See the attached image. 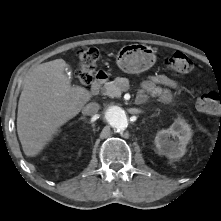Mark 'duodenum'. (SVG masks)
I'll list each match as a JSON object with an SVG mask.
<instances>
[{
  "instance_id": "1",
  "label": "duodenum",
  "mask_w": 221,
  "mask_h": 221,
  "mask_svg": "<svg viewBox=\"0 0 221 221\" xmlns=\"http://www.w3.org/2000/svg\"><path fill=\"white\" fill-rule=\"evenodd\" d=\"M106 80H107V75H106V73H105L104 71H98V72L96 73L95 79H94V81H93V83H92V85H91V92H92L93 94H97V93L100 91V89H101L103 83H104ZM138 102H139V103L145 102V96H144V95H140V96L138 97Z\"/></svg>"
}]
</instances>
